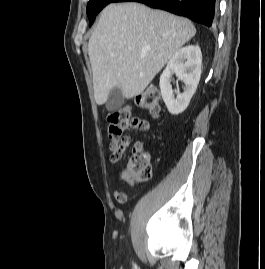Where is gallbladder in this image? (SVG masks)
Returning a JSON list of instances; mask_svg holds the SVG:
<instances>
[{"label":"gallbladder","mask_w":265,"mask_h":269,"mask_svg":"<svg viewBox=\"0 0 265 269\" xmlns=\"http://www.w3.org/2000/svg\"><path fill=\"white\" fill-rule=\"evenodd\" d=\"M125 98L120 88L115 87L111 90L108 100L106 102V108L108 111H115L124 104Z\"/></svg>","instance_id":"1"}]
</instances>
